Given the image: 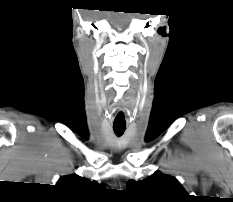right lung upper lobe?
<instances>
[{
	"label": "right lung upper lobe",
	"instance_id": "obj_1",
	"mask_svg": "<svg viewBox=\"0 0 233 202\" xmlns=\"http://www.w3.org/2000/svg\"><path fill=\"white\" fill-rule=\"evenodd\" d=\"M57 185L67 188H76V189H84V188L98 186L97 182H91L90 180L80 177L78 175L61 177Z\"/></svg>",
	"mask_w": 233,
	"mask_h": 202
}]
</instances>
